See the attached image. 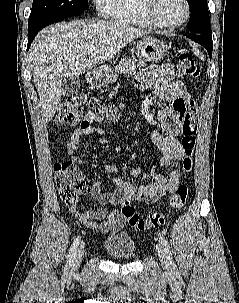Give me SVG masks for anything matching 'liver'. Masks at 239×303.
<instances>
[{"mask_svg":"<svg viewBox=\"0 0 239 303\" xmlns=\"http://www.w3.org/2000/svg\"><path fill=\"white\" fill-rule=\"evenodd\" d=\"M147 34L122 21L103 20L57 23L40 31L29 50V62L45 121L55 115L68 76L109 61ZM89 48L95 49L88 53Z\"/></svg>","mask_w":239,"mask_h":303,"instance_id":"obj_1","label":"liver"}]
</instances>
